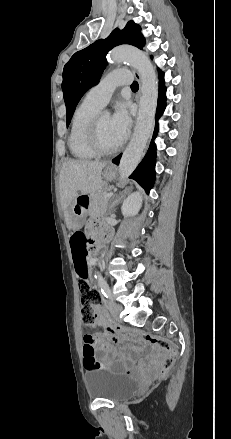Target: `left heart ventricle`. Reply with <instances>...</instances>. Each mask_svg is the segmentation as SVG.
Segmentation results:
<instances>
[{"label": "left heart ventricle", "mask_w": 231, "mask_h": 439, "mask_svg": "<svg viewBox=\"0 0 231 439\" xmlns=\"http://www.w3.org/2000/svg\"><path fill=\"white\" fill-rule=\"evenodd\" d=\"M99 139L103 147L113 148L118 145L111 128V117L107 113H101L99 118Z\"/></svg>", "instance_id": "b2bd125f"}]
</instances>
